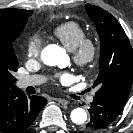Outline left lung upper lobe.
<instances>
[{"mask_svg": "<svg viewBox=\"0 0 133 133\" xmlns=\"http://www.w3.org/2000/svg\"><path fill=\"white\" fill-rule=\"evenodd\" d=\"M85 8L100 38V73L93 85L97 88L95 96L124 106L133 80L130 42L114 16L94 5L86 4Z\"/></svg>", "mask_w": 133, "mask_h": 133, "instance_id": "5c2ea615", "label": "left lung upper lobe"}]
</instances>
